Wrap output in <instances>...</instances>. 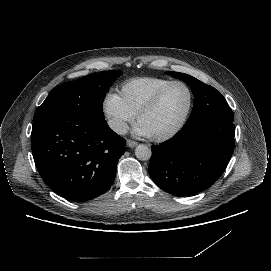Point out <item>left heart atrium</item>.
Returning <instances> with one entry per match:
<instances>
[{
	"label": "left heart atrium",
	"mask_w": 271,
	"mask_h": 271,
	"mask_svg": "<svg viewBox=\"0 0 271 271\" xmlns=\"http://www.w3.org/2000/svg\"><path fill=\"white\" fill-rule=\"evenodd\" d=\"M133 133L137 137H148V136H150L148 134L147 130L145 129V127L141 123H138L134 127Z\"/></svg>",
	"instance_id": "39dd6f15"
}]
</instances>
